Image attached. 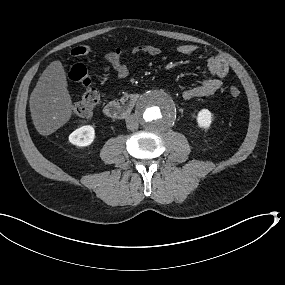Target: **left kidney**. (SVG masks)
I'll return each mask as SVG.
<instances>
[{
	"mask_svg": "<svg viewBox=\"0 0 285 285\" xmlns=\"http://www.w3.org/2000/svg\"><path fill=\"white\" fill-rule=\"evenodd\" d=\"M198 126L209 128L212 122V114L208 109H202L197 116Z\"/></svg>",
	"mask_w": 285,
	"mask_h": 285,
	"instance_id": "left-kidney-1",
	"label": "left kidney"
}]
</instances>
